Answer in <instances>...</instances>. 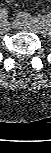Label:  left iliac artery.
<instances>
[{"mask_svg":"<svg viewBox=\"0 0 51 153\" xmlns=\"http://www.w3.org/2000/svg\"><path fill=\"white\" fill-rule=\"evenodd\" d=\"M21 14L26 20H29L33 23L39 22V23L43 24V26H46L47 28L51 26V14H47L44 16H38L37 18H32L27 13H21Z\"/></svg>","mask_w":51,"mask_h":153,"instance_id":"1","label":"left iliac artery"}]
</instances>
